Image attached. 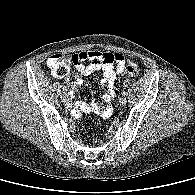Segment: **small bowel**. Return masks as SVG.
Returning <instances> with one entry per match:
<instances>
[{
  "mask_svg": "<svg viewBox=\"0 0 195 195\" xmlns=\"http://www.w3.org/2000/svg\"><path fill=\"white\" fill-rule=\"evenodd\" d=\"M71 58L76 69L73 74L71 94L83 84L82 76H87L97 71L103 72L100 80L101 89L104 92L102 96L100 98L95 96L88 103L77 102L76 108L84 113H95L108 118L113 111L111 103L115 97L116 79L123 73L125 68L124 56L119 53L90 50L76 53ZM85 61H89V64L85 65Z\"/></svg>",
  "mask_w": 195,
  "mask_h": 195,
  "instance_id": "small-bowel-1",
  "label": "small bowel"
}]
</instances>
